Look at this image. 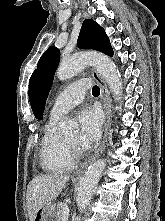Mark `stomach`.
Returning a JSON list of instances; mask_svg holds the SVG:
<instances>
[{"mask_svg":"<svg viewBox=\"0 0 165 221\" xmlns=\"http://www.w3.org/2000/svg\"><path fill=\"white\" fill-rule=\"evenodd\" d=\"M34 221H57L55 206L53 204H47L43 206L36 213Z\"/></svg>","mask_w":165,"mask_h":221,"instance_id":"obj_1","label":"stomach"}]
</instances>
